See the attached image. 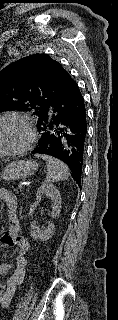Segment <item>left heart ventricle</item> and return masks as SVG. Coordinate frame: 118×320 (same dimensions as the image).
I'll return each mask as SVG.
<instances>
[{"label":"left heart ventricle","mask_w":118,"mask_h":320,"mask_svg":"<svg viewBox=\"0 0 118 320\" xmlns=\"http://www.w3.org/2000/svg\"><path fill=\"white\" fill-rule=\"evenodd\" d=\"M21 134V126L17 123H5L0 125V147L6 149L17 144Z\"/></svg>","instance_id":"left-heart-ventricle-1"}]
</instances>
